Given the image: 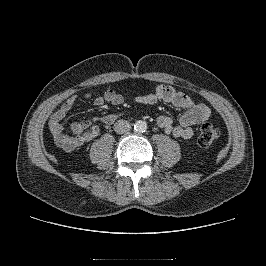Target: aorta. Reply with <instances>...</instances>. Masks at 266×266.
<instances>
[{
    "instance_id": "obj_1",
    "label": "aorta",
    "mask_w": 266,
    "mask_h": 266,
    "mask_svg": "<svg viewBox=\"0 0 266 266\" xmlns=\"http://www.w3.org/2000/svg\"><path fill=\"white\" fill-rule=\"evenodd\" d=\"M134 129L137 132H144L147 129V123L145 121L142 120H138L136 121V123L134 124Z\"/></svg>"
}]
</instances>
